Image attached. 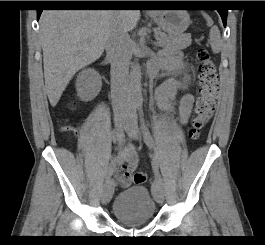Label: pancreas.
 Listing matches in <instances>:
<instances>
[{
    "instance_id": "pancreas-1",
    "label": "pancreas",
    "mask_w": 265,
    "mask_h": 245,
    "mask_svg": "<svg viewBox=\"0 0 265 245\" xmlns=\"http://www.w3.org/2000/svg\"><path fill=\"white\" fill-rule=\"evenodd\" d=\"M161 42H158L159 46L167 49H185L191 45V36L188 34H181L177 36L167 35L164 32L157 31Z\"/></svg>"
}]
</instances>
